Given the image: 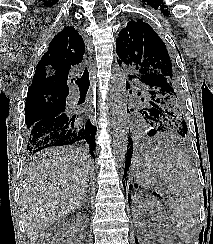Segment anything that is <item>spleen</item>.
Masks as SVG:
<instances>
[{
  "mask_svg": "<svg viewBox=\"0 0 213 244\" xmlns=\"http://www.w3.org/2000/svg\"><path fill=\"white\" fill-rule=\"evenodd\" d=\"M161 179L169 191L167 204L171 211V226L185 244L195 238L202 191L195 172L178 154L159 149L150 154Z\"/></svg>",
  "mask_w": 213,
  "mask_h": 244,
  "instance_id": "1",
  "label": "spleen"
}]
</instances>
